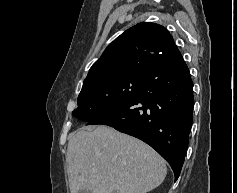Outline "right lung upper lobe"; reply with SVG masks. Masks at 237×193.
I'll use <instances>...</instances> for the list:
<instances>
[{
  "label": "right lung upper lobe",
  "mask_w": 237,
  "mask_h": 193,
  "mask_svg": "<svg viewBox=\"0 0 237 193\" xmlns=\"http://www.w3.org/2000/svg\"><path fill=\"white\" fill-rule=\"evenodd\" d=\"M177 51L173 37L163 26L139 23L107 46L83 86L126 75H145L158 61Z\"/></svg>",
  "instance_id": "cb5924a9"
}]
</instances>
